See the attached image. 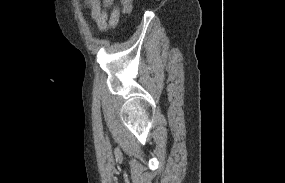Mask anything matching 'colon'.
<instances>
[{
	"mask_svg": "<svg viewBox=\"0 0 285 183\" xmlns=\"http://www.w3.org/2000/svg\"><path fill=\"white\" fill-rule=\"evenodd\" d=\"M125 13H130L132 8L133 0H121Z\"/></svg>",
	"mask_w": 285,
	"mask_h": 183,
	"instance_id": "5ec220e1",
	"label": "colon"
}]
</instances>
